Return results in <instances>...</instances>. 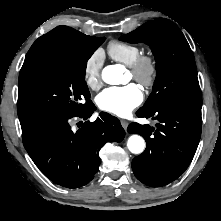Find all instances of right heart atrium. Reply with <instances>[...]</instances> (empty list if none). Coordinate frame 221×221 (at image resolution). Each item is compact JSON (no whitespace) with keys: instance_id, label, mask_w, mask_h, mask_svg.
Listing matches in <instances>:
<instances>
[{"instance_id":"1","label":"right heart atrium","mask_w":221,"mask_h":221,"mask_svg":"<svg viewBox=\"0 0 221 221\" xmlns=\"http://www.w3.org/2000/svg\"><path fill=\"white\" fill-rule=\"evenodd\" d=\"M104 55L101 49L94 50L86 59L83 67L85 83L91 89H97L102 83L101 71Z\"/></svg>"}]
</instances>
